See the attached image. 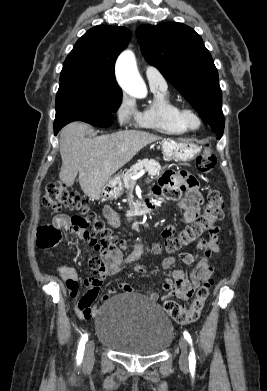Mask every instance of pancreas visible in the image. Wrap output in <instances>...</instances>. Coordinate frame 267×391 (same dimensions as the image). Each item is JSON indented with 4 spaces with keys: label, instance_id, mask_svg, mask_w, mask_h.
Instances as JSON below:
<instances>
[{
    "label": "pancreas",
    "instance_id": "1",
    "mask_svg": "<svg viewBox=\"0 0 267 391\" xmlns=\"http://www.w3.org/2000/svg\"><path fill=\"white\" fill-rule=\"evenodd\" d=\"M142 169L147 170L150 176L155 177L161 171V166L156 160L153 159H143L138 161L122 176V181L125 188L129 189L134 185L135 181L131 177L136 175L138 171Z\"/></svg>",
    "mask_w": 267,
    "mask_h": 391
}]
</instances>
